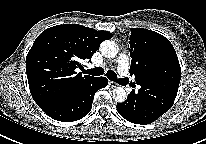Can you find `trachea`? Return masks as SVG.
<instances>
[{
	"mask_svg": "<svg viewBox=\"0 0 206 144\" xmlns=\"http://www.w3.org/2000/svg\"><path fill=\"white\" fill-rule=\"evenodd\" d=\"M84 73L92 75V76H100V75H103L104 70L101 67H96L93 69L85 70ZM106 76L111 81H117V82L121 81V79L117 78V74L112 70L107 71Z\"/></svg>",
	"mask_w": 206,
	"mask_h": 144,
	"instance_id": "obj_1",
	"label": "trachea"
}]
</instances>
